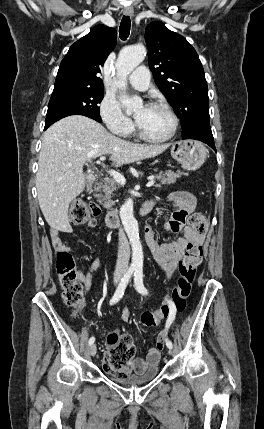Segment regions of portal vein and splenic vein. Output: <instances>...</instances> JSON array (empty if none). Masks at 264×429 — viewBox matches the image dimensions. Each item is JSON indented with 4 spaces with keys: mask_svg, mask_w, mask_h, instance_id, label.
Instances as JSON below:
<instances>
[{
    "mask_svg": "<svg viewBox=\"0 0 264 429\" xmlns=\"http://www.w3.org/2000/svg\"><path fill=\"white\" fill-rule=\"evenodd\" d=\"M100 160H105V157L104 156H102V157H100ZM110 175L116 180V182L117 183H119L120 185H124L125 183H126V179H125V177L121 174V173H119V172H117V171H115V170H112V171H110ZM154 185V180H153V178H151L150 179V181L146 184V186L147 187H151V186H153Z\"/></svg>",
    "mask_w": 264,
    "mask_h": 429,
    "instance_id": "portal-vein-and-splenic-vein-1",
    "label": "portal vein and splenic vein"
}]
</instances>
